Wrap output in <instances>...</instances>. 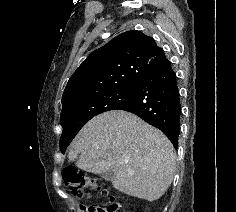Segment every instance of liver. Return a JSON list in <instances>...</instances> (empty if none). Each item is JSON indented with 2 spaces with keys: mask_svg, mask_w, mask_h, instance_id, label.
I'll use <instances>...</instances> for the list:
<instances>
[{
  "mask_svg": "<svg viewBox=\"0 0 236 212\" xmlns=\"http://www.w3.org/2000/svg\"><path fill=\"white\" fill-rule=\"evenodd\" d=\"M68 158L94 174L113 170L115 189L147 201L166 192L176 164L164 133L132 113L116 110L92 118L71 143Z\"/></svg>",
  "mask_w": 236,
  "mask_h": 212,
  "instance_id": "6515ba94",
  "label": "liver"
}]
</instances>
